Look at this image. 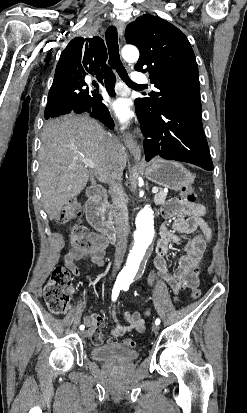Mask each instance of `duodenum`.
Instances as JSON below:
<instances>
[{
    "mask_svg": "<svg viewBox=\"0 0 247 413\" xmlns=\"http://www.w3.org/2000/svg\"><path fill=\"white\" fill-rule=\"evenodd\" d=\"M86 203V218L88 222L109 240L116 241V232L113 226L103 217L102 212L107 204V191L97 185L90 190Z\"/></svg>",
    "mask_w": 247,
    "mask_h": 413,
    "instance_id": "410a0bca",
    "label": "duodenum"
}]
</instances>
